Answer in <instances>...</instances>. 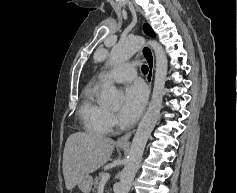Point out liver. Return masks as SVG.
Segmentation results:
<instances>
[{"instance_id":"liver-1","label":"liver","mask_w":237,"mask_h":193,"mask_svg":"<svg viewBox=\"0 0 237 193\" xmlns=\"http://www.w3.org/2000/svg\"><path fill=\"white\" fill-rule=\"evenodd\" d=\"M115 141L95 133L71 134L63 153V176L67 190H72L84 176L95 172L110 159Z\"/></svg>"}]
</instances>
